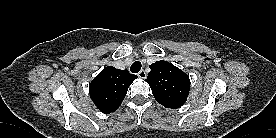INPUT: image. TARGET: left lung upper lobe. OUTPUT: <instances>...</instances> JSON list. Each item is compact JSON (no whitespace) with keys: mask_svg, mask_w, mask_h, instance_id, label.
Listing matches in <instances>:
<instances>
[{"mask_svg":"<svg viewBox=\"0 0 276 138\" xmlns=\"http://www.w3.org/2000/svg\"><path fill=\"white\" fill-rule=\"evenodd\" d=\"M145 80L151 87L157 102L166 108L182 106L190 91V79L186 73L167 61H157L150 66Z\"/></svg>","mask_w":276,"mask_h":138,"instance_id":"1","label":"left lung upper lobe"}]
</instances>
